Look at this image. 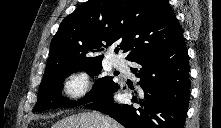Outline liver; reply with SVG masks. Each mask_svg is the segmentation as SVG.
<instances>
[{"mask_svg":"<svg viewBox=\"0 0 221 128\" xmlns=\"http://www.w3.org/2000/svg\"><path fill=\"white\" fill-rule=\"evenodd\" d=\"M52 128H122V126L98 112H85L66 117L56 122Z\"/></svg>","mask_w":221,"mask_h":128,"instance_id":"1","label":"liver"}]
</instances>
